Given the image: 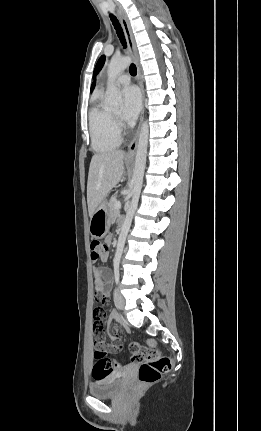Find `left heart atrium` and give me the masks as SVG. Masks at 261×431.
Instances as JSON below:
<instances>
[{"mask_svg":"<svg viewBox=\"0 0 261 431\" xmlns=\"http://www.w3.org/2000/svg\"><path fill=\"white\" fill-rule=\"evenodd\" d=\"M123 108L122 119L126 123H132L141 107V96L135 86H127L122 90Z\"/></svg>","mask_w":261,"mask_h":431,"instance_id":"obj_1","label":"left heart atrium"}]
</instances>
